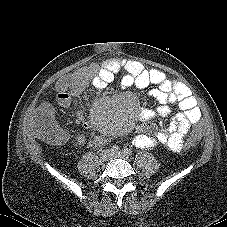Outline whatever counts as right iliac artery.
<instances>
[{
    "label": "right iliac artery",
    "mask_w": 227,
    "mask_h": 227,
    "mask_svg": "<svg viewBox=\"0 0 227 227\" xmlns=\"http://www.w3.org/2000/svg\"><path fill=\"white\" fill-rule=\"evenodd\" d=\"M118 150H119L118 146H113V147L111 148V152H112V153H117Z\"/></svg>",
    "instance_id": "obj_1"
}]
</instances>
